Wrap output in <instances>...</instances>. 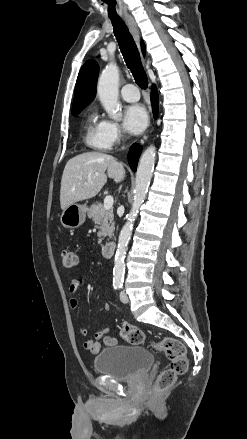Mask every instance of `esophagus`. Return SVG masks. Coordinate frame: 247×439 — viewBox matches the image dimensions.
Here are the masks:
<instances>
[{
    "label": "esophagus",
    "instance_id": "esophagus-1",
    "mask_svg": "<svg viewBox=\"0 0 247 439\" xmlns=\"http://www.w3.org/2000/svg\"><path fill=\"white\" fill-rule=\"evenodd\" d=\"M124 20L127 23L135 41L139 45V43H140L139 30H138V27L136 25L134 18L131 15H125Z\"/></svg>",
    "mask_w": 247,
    "mask_h": 439
}]
</instances>
